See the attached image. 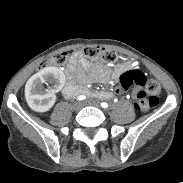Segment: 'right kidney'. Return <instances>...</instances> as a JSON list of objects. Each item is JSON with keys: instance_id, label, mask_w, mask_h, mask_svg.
Instances as JSON below:
<instances>
[{"instance_id": "1", "label": "right kidney", "mask_w": 183, "mask_h": 183, "mask_svg": "<svg viewBox=\"0 0 183 183\" xmlns=\"http://www.w3.org/2000/svg\"><path fill=\"white\" fill-rule=\"evenodd\" d=\"M45 82L55 83L54 88L60 89L65 83V75L57 67H46L30 77L25 86V97L35 112H47L55 103L54 90L43 89L42 84Z\"/></svg>"}]
</instances>
